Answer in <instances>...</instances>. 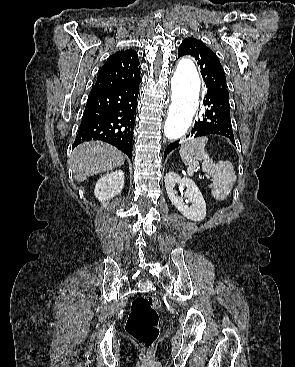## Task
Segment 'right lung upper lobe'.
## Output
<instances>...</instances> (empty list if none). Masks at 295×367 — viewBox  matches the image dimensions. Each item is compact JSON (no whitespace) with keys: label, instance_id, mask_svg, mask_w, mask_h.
<instances>
[{"label":"right lung upper lobe","instance_id":"right-lung-upper-lobe-1","mask_svg":"<svg viewBox=\"0 0 295 367\" xmlns=\"http://www.w3.org/2000/svg\"><path fill=\"white\" fill-rule=\"evenodd\" d=\"M141 82L137 52L125 50L111 55L103 65L95 86L123 87Z\"/></svg>","mask_w":295,"mask_h":367}]
</instances>
